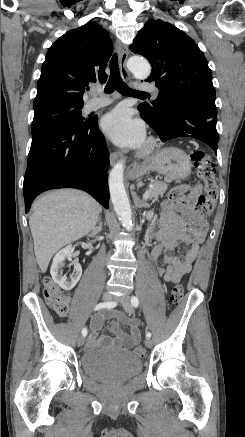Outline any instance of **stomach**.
<instances>
[{"instance_id": "1", "label": "stomach", "mask_w": 245, "mask_h": 437, "mask_svg": "<svg viewBox=\"0 0 245 437\" xmlns=\"http://www.w3.org/2000/svg\"><path fill=\"white\" fill-rule=\"evenodd\" d=\"M191 167L190 158L184 151L167 147L158 150L149 160L134 166L129 177L139 179L149 171H156L163 174L167 181H174L187 178Z\"/></svg>"}]
</instances>
